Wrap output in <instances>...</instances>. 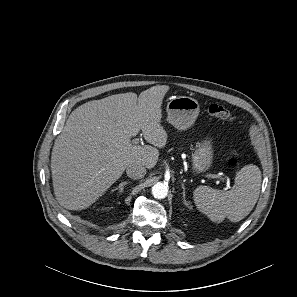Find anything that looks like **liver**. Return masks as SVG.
<instances>
[{"mask_svg": "<svg viewBox=\"0 0 297 297\" xmlns=\"http://www.w3.org/2000/svg\"><path fill=\"white\" fill-rule=\"evenodd\" d=\"M157 85L136 93L87 102L68 117L51 156L54 194L60 205L82 210L92 205L130 165L153 168L158 148L167 144L161 125L162 101L169 91ZM140 131L151 145L131 144Z\"/></svg>", "mask_w": 297, "mask_h": 297, "instance_id": "obj_1", "label": "liver"}]
</instances>
